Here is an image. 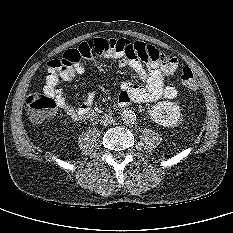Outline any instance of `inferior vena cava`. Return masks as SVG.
I'll use <instances>...</instances> for the list:
<instances>
[{
    "label": "inferior vena cava",
    "mask_w": 233,
    "mask_h": 233,
    "mask_svg": "<svg viewBox=\"0 0 233 233\" xmlns=\"http://www.w3.org/2000/svg\"><path fill=\"white\" fill-rule=\"evenodd\" d=\"M115 123V118L110 114H105L100 119V124L103 126H109Z\"/></svg>",
    "instance_id": "602c4592"
}]
</instances>
